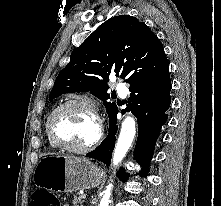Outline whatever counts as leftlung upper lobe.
<instances>
[{"instance_id":"1","label":"left lung upper lobe","mask_w":221,"mask_h":206,"mask_svg":"<svg viewBox=\"0 0 221 206\" xmlns=\"http://www.w3.org/2000/svg\"><path fill=\"white\" fill-rule=\"evenodd\" d=\"M50 92V101L63 93L90 91L103 100L111 124L117 110L107 102L109 75L124 79L129 88L169 67L157 36L137 18L116 16L101 24L70 56ZM110 127V125H109Z\"/></svg>"}]
</instances>
